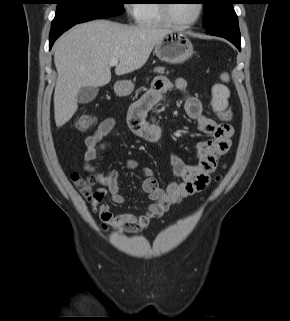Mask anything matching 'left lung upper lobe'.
Listing matches in <instances>:
<instances>
[{
	"label": "left lung upper lobe",
	"instance_id": "5c2ea615",
	"mask_svg": "<svg viewBox=\"0 0 290 321\" xmlns=\"http://www.w3.org/2000/svg\"><path fill=\"white\" fill-rule=\"evenodd\" d=\"M204 4L203 27L211 30L237 18L235 0H202Z\"/></svg>",
	"mask_w": 290,
	"mask_h": 321
}]
</instances>
